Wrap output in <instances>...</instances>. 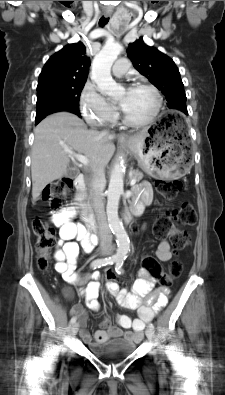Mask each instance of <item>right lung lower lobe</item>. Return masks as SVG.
Instances as JSON below:
<instances>
[{
  "label": "right lung lower lobe",
  "mask_w": 225,
  "mask_h": 395,
  "mask_svg": "<svg viewBox=\"0 0 225 395\" xmlns=\"http://www.w3.org/2000/svg\"><path fill=\"white\" fill-rule=\"evenodd\" d=\"M56 111H70V112L76 114L77 116H80L79 108L64 107V108H61V109L56 110ZM44 117H45V116H44ZM44 117H42V118H36V119H35V124H38Z\"/></svg>",
  "instance_id": "right-lung-lower-lobe-1"
}]
</instances>
